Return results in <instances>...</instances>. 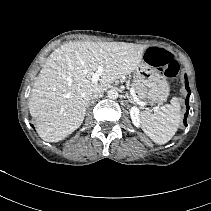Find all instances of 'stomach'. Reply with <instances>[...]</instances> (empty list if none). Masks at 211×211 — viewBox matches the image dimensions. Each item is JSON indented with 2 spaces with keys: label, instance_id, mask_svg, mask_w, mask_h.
<instances>
[{
  "label": "stomach",
  "instance_id": "obj_1",
  "mask_svg": "<svg viewBox=\"0 0 211 211\" xmlns=\"http://www.w3.org/2000/svg\"><path fill=\"white\" fill-rule=\"evenodd\" d=\"M137 79L147 88L146 98L151 103H162L169 95V84L166 77L146 62H142L135 70Z\"/></svg>",
  "mask_w": 211,
  "mask_h": 211
}]
</instances>
